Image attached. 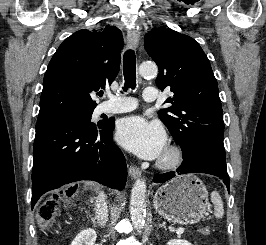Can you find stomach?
<instances>
[{"label":"stomach","mask_w":266,"mask_h":245,"mask_svg":"<svg viewBox=\"0 0 266 245\" xmlns=\"http://www.w3.org/2000/svg\"><path fill=\"white\" fill-rule=\"evenodd\" d=\"M208 205V191L195 175H180L162 185L154 195L158 215L178 225L198 223Z\"/></svg>","instance_id":"0dacf381"}]
</instances>
